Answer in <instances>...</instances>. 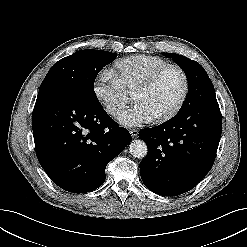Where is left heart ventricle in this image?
Returning a JSON list of instances; mask_svg holds the SVG:
<instances>
[{
    "label": "left heart ventricle",
    "instance_id": "1",
    "mask_svg": "<svg viewBox=\"0 0 247 247\" xmlns=\"http://www.w3.org/2000/svg\"><path fill=\"white\" fill-rule=\"evenodd\" d=\"M182 90L181 74L175 69H170L161 74L149 88L136 92L133 100L142 103L154 117H157L176 104Z\"/></svg>",
    "mask_w": 247,
    "mask_h": 247
}]
</instances>
